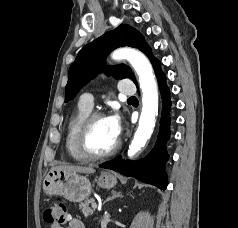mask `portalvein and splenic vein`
<instances>
[{
    "label": "portal vein and splenic vein",
    "mask_w": 238,
    "mask_h": 228,
    "mask_svg": "<svg viewBox=\"0 0 238 228\" xmlns=\"http://www.w3.org/2000/svg\"><path fill=\"white\" fill-rule=\"evenodd\" d=\"M92 208H93L94 210L97 209V204H96L95 202L92 203Z\"/></svg>",
    "instance_id": "18ae733b"
}]
</instances>
